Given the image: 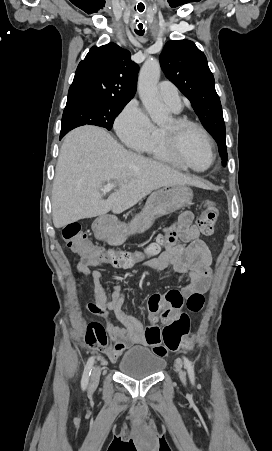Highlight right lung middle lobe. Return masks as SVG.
I'll return each instance as SVG.
<instances>
[{
    "instance_id": "right-lung-middle-lobe-1",
    "label": "right lung middle lobe",
    "mask_w": 272,
    "mask_h": 451,
    "mask_svg": "<svg viewBox=\"0 0 272 451\" xmlns=\"http://www.w3.org/2000/svg\"><path fill=\"white\" fill-rule=\"evenodd\" d=\"M129 101L80 99L67 102L62 116L60 139L82 125H96L111 130L114 119Z\"/></svg>"
}]
</instances>
